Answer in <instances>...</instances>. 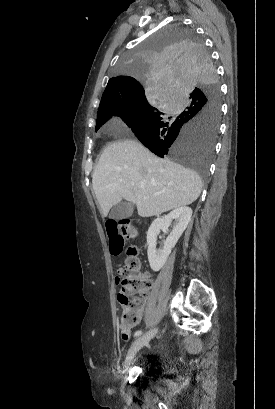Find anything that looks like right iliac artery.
Segmentation results:
<instances>
[{"instance_id": "obj_1", "label": "right iliac artery", "mask_w": 275, "mask_h": 409, "mask_svg": "<svg viewBox=\"0 0 275 409\" xmlns=\"http://www.w3.org/2000/svg\"><path fill=\"white\" fill-rule=\"evenodd\" d=\"M142 334L141 330L135 332L134 337H139Z\"/></svg>"}]
</instances>
